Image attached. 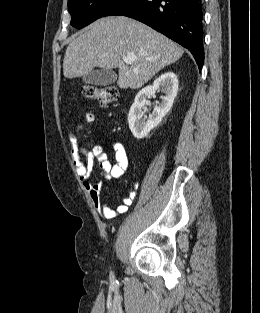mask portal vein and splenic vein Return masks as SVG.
I'll return each mask as SVG.
<instances>
[{"mask_svg":"<svg viewBox=\"0 0 260 313\" xmlns=\"http://www.w3.org/2000/svg\"><path fill=\"white\" fill-rule=\"evenodd\" d=\"M137 58L135 56H128L123 58L126 64H132Z\"/></svg>","mask_w":260,"mask_h":313,"instance_id":"1","label":"portal vein and splenic vein"}]
</instances>
